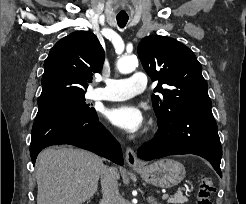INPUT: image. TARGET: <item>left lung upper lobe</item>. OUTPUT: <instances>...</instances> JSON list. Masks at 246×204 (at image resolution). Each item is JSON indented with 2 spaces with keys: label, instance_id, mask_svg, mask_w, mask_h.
Wrapping results in <instances>:
<instances>
[{
  "label": "left lung upper lobe",
  "instance_id": "left-lung-upper-lobe-1",
  "mask_svg": "<svg viewBox=\"0 0 246 204\" xmlns=\"http://www.w3.org/2000/svg\"><path fill=\"white\" fill-rule=\"evenodd\" d=\"M138 55L151 79L159 81L154 91L162 96L152 95L158 123L177 112L211 108L201 64L188 47L173 38L147 36L138 45Z\"/></svg>",
  "mask_w": 246,
  "mask_h": 204
}]
</instances>
